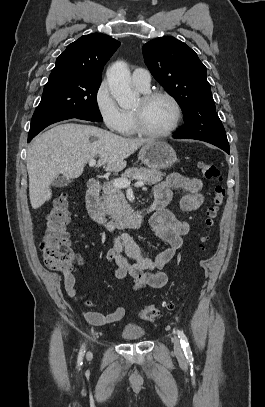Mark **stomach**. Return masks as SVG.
<instances>
[{"label": "stomach", "instance_id": "obj_1", "mask_svg": "<svg viewBox=\"0 0 265 407\" xmlns=\"http://www.w3.org/2000/svg\"><path fill=\"white\" fill-rule=\"evenodd\" d=\"M140 161L150 169H167L177 162L174 149L166 142L153 140L140 149Z\"/></svg>", "mask_w": 265, "mask_h": 407}]
</instances>
